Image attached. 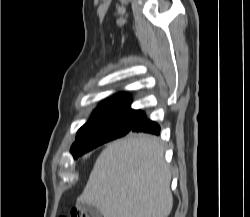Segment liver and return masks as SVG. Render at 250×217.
Segmentation results:
<instances>
[{"instance_id": "6515ba94", "label": "liver", "mask_w": 250, "mask_h": 217, "mask_svg": "<svg viewBox=\"0 0 250 217\" xmlns=\"http://www.w3.org/2000/svg\"><path fill=\"white\" fill-rule=\"evenodd\" d=\"M170 183L161 142L130 135L100 153L77 202L104 217H167L173 206Z\"/></svg>"}]
</instances>
